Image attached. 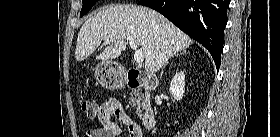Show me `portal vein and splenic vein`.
Wrapping results in <instances>:
<instances>
[{
	"label": "portal vein and splenic vein",
	"mask_w": 280,
	"mask_h": 137,
	"mask_svg": "<svg viewBox=\"0 0 280 137\" xmlns=\"http://www.w3.org/2000/svg\"><path fill=\"white\" fill-rule=\"evenodd\" d=\"M109 41H110L109 39L106 40V42H109ZM129 45H130L131 49H133L135 51V53H134L135 62L138 64H141L145 58L144 53L140 49H138V45L134 41L130 40Z\"/></svg>",
	"instance_id": "18ae733b"
}]
</instances>
